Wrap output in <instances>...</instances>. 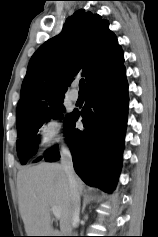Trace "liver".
Returning <instances> with one entry per match:
<instances>
[{
  "label": "liver",
  "instance_id": "liver-1",
  "mask_svg": "<svg viewBox=\"0 0 158 237\" xmlns=\"http://www.w3.org/2000/svg\"><path fill=\"white\" fill-rule=\"evenodd\" d=\"M80 193L84 184L76 176ZM19 211L28 236H58L71 232V198L66 173L61 164L40 163L17 174ZM60 211V232L51 226V207Z\"/></svg>",
  "mask_w": 158,
  "mask_h": 237
}]
</instances>
